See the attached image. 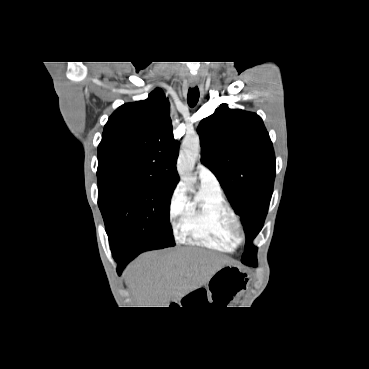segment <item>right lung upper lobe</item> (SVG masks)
Instances as JSON below:
<instances>
[{
	"label": "right lung upper lobe",
	"instance_id": "obj_1",
	"mask_svg": "<svg viewBox=\"0 0 369 369\" xmlns=\"http://www.w3.org/2000/svg\"><path fill=\"white\" fill-rule=\"evenodd\" d=\"M178 145L169 103L162 90L155 89L148 99L126 103L110 116L98 146V170L136 172L175 187Z\"/></svg>",
	"mask_w": 369,
	"mask_h": 369
}]
</instances>
